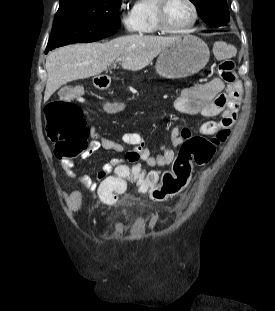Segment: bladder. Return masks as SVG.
<instances>
[{"instance_id":"31cf9c89","label":"bladder","mask_w":275,"mask_h":311,"mask_svg":"<svg viewBox=\"0 0 275 311\" xmlns=\"http://www.w3.org/2000/svg\"><path fill=\"white\" fill-rule=\"evenodd\" d=\"M130 217V214L129 212L126 210V211H121L119 213H116L114 216H113V220H116V219H121V220H126Z\"/></svg>"}]
</instances>
